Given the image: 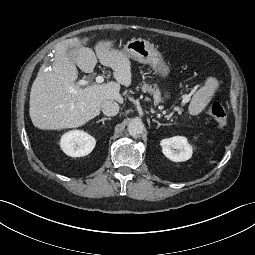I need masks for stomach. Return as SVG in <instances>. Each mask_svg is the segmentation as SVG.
Returning <instances> with one entry per match:
<instances>
[{
  "label": "stomach",
  "mask_w": 255,
  "mask_h": 255,
  "mask_svg": "<svg viewBox=\"0 0 255 255\" xmlns=\"http://www.w3.org/2000/svg\"><path fill=\"white\" fill-rule=\"evenodd\" d=\"M129 59L139 63L149 64L154 72L165 78L170 73V67L165 63L161 53L149 41L142 38H134L126 43L123 49ZM165 98H169V92H165Z\"/></svg>",
  "instance_id": "0dacf381"
}]
</instances>
